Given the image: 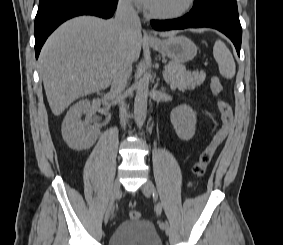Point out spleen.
I'll return each mask as SVG.
<instances>
[{
  "instance_id": "3e777b00",
  "label": "spleen",
  "mask_w": 283,
  "mask_h": 245,
  "mask_svg": "<svg viewBox=\"0 0 283 245\" xmlns=\"http://www.w3.org/2000/svg\"><path fill=\"white\" fill-rule=\"evenodd\" d=\"M213 56L218 63L220 74L226 79H232L236 72L235 62L231 52L221 40L215 42Z\"/></svg>"
}]
</instances>
